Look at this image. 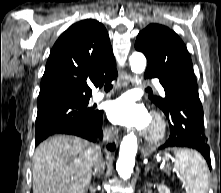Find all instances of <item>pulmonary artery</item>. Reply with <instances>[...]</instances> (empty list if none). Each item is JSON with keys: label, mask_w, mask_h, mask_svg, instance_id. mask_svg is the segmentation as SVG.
<instances>
[{"label": "pulmonary artery", "mask_w": 221, "mask_h": 193, "mask_svg": "<svg viewBox=\"0 0 221 193\" xmlns=\"http://www.w3.org/2000/svg\"><path fill=\"white\" fill-rule=\"evenodd\" d=\"M154 85L156 86V88L158 89V91L160 92L161 95H165V91L163 89V87L159 84V82L157 80L154 81ZM105 97V93L98 91L95 92L92 96V100L93 101H100Z\"/></svg>", "instance_id": "e3ab8cb5"}]
</instances>
